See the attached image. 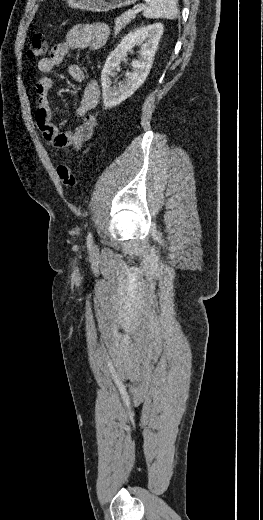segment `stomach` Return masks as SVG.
I'll use <instances>...</instances> for the list:
<instances>
[{
  "label": "stomach",
  "mask_w": 263,
  "mask_h": 520,
  "mask_svg": "<svg viewBox=\"0 0 263 520\" xmlns=\"http://www.w3.org/2000/svg\"><path fill=\"white\" fill-rule=\"evenodd\" d=\"M69 7L92 11L108 12L117 8L135 4L138 0H65Z\"/></svg>",
  "instance_id": "0dacf381"
}]
</instances>
